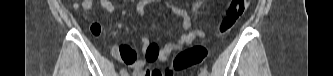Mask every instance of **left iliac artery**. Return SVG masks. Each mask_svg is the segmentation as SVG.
Returning <instances> with one entry per match:
<instances>
[{
    "mask_svg": "<svg viewBox=\"0 0 333 76\" xmlns=\"http://www.w3.org/2000/svg\"><path fill=\"white\" fill-rule=\"evenodd\" d=\"M201 74H203L204 76H206L207 74H208V71H207V69H202V71H201Z\"/></svg>",
    "mask_w": 333,
    "mask_h": 76,
    "instance_id": "left-iliac-artery-1",
    "label": "left iliac artery"
}]
</instances>
